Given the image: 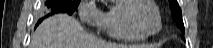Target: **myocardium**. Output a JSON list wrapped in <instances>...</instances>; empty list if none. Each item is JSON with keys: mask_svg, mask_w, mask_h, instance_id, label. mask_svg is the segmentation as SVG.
I'll use <instances>...</instances> for the list:
<instances>
[{"mask_svg": "<svg viewBox=\"0 0 213 48\" xmlns=\"http://www.w3.org/2000/svg\"><path fill=\"white\" fill-rule=\"evenodd\" d=\"M138 2H144L149 4L150 6L153 7L155 13H156V18H157V28L155 31L151 33H142L140 32L135 24L133 23L131 16H130V11L131 9L138 3ZM121 14H122V19L127 26V28L136 36L142 37L144 39L152 37L156 35L162 28V18H161V13L158 8V6L155 4L154 1L151 0H128L121 9Z\"/></svg>", "mask_w": 213, "mask_h": 48, "instance_id": "1", "label": "myocardium"}]
</instances>
